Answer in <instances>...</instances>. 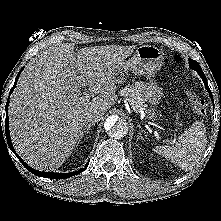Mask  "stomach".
Returning <instances> with one entry per match:
<instances>
[{
    "label": "stomach",
    "mask_w": 221,
    "mask_h": 221,
    "mask_svg": "<svg viewBox=\"0 0 221 221\" xmlns=\"http://www.w3.org/2000/svg\"><path fill=\"white\" fill-rule=\"evenodd\" d=\"M164 54L163 52L151 45L139 46L133 56L125 62H122L116 68V80L118 83H123L129 73L138 76L148 77V82L140 84V90L145 100L150 104L147 110L149 119H155V107L163 97V89L153 80V76L160 70L163 65Z\"/></svg>",
    "instance_id": "obj_1"
}]
</instances>
